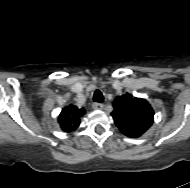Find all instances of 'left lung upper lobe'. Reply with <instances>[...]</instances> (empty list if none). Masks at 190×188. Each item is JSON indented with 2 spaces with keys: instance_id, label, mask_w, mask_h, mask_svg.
<instances>
[{
  "instance_id": "left-lung-upper-lobe-1",
  "label": "left lung upper lobe",
  "mask_w": 190,
  "mask_h": 188,
  "mask_svg": "<svg viewBox=\"0 0 190 188\" xmlns=\"http://www.w3.org/2000/svg\"><path fill=\"white\" fill-rule=\"evenodd\" d=\"M113 107L114 122L125 135L132 133L141 136L153 124L154 111L145 99L126 93L116 97Z\"/></svg>"
}]
</instances>
